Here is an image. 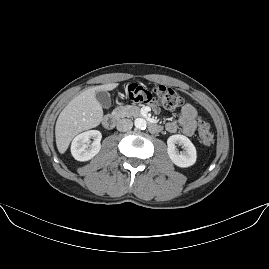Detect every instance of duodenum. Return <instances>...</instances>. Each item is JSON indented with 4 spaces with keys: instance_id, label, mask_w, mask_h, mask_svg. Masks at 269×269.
I'll return each mask as SVG.
<instances>
[{
    "instance_id": "duodenum-1",
    "label": "duodenum",
    "mask_w": 269,
    "mask_h": 269,
    "mask_svg": "<svg viewBox=\"0 0 269 269\" xmlns=\"http://www.w3.org/2000/svg\"><path fill=\"white\" fill-rule=\"evenodd\" d=\"M136 115L145 119L148 117L144 111H136ZM102 125L106 130H112L116 125V118L112 115H106L102 120ZM148 129L151 133H158L161 130V126L157 123L149 122Z\"/></svg>"
}]
</instances>
